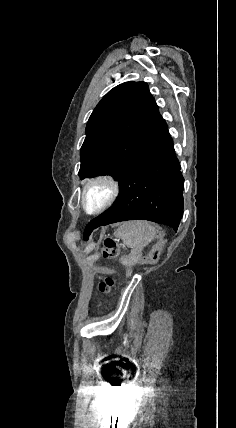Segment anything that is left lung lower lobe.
I'll use <instances>...</instances> for the list:
<instances>
[{
    "mask_svg": "<svg viewBox=\"0 0 236 428\" xmlns=\"http://www.w3.org/2000/svg\"><path fill=\"white\" fill-rule=\"evenodd\" d=\"M119 190L114 205L88 223L84 239L99 226L126 220H149L177 231L183 215L184 178L162 117L125 169Z\"/></svg>",
    "mask_w": 236,
    "mask_h": 428,
    "instance_id": "0a47b994",
    "label": "left lung lower lobe"
}]
</instances>
